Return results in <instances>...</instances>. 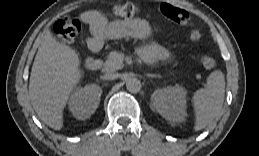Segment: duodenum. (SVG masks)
<instances>
[{"mask_svg":"<svg viewBox=\"0 0 259 156\" xmlns=\"http://www.w3.org/2000/svg\"><path fill=\"white\" fill-rule=\"evenodd\" d=\"M100 46V43L98 41H95L91 44L90 48L92 50H98ZM85 67L91 71L98 70L101 67V61L96 58H88L85 61Z\"/></svg>","mask_w":259,"mask_h":156,"instance_id":"1","label":"duodenum"}]
</instances>
